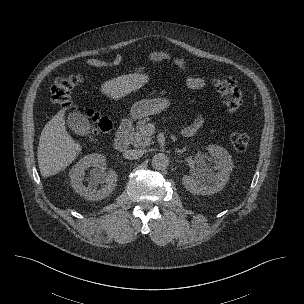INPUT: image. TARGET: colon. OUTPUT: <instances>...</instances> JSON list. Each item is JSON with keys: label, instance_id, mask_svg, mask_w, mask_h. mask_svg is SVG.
I'll list each match as a JSON object with an SVG mask.
<instances>
[{"label": "colon", "instance_id": "colon-1", "mask_svg": "<svg viewBox=\"0 0 304 304\" xmlns=\"http://www.w3.org/2000/svg\"><path fill=\"white\" fill-rule=\"evenodd\" d=\"M83 81L80 74H70L59 77L51 88L52 102L64 109H75L71 101L73 89ZM213 85L220 94L222 103L230 112L237 111L242 106V94L237 86L236 80L229 75H223L213 80ZM87 115L91 120V132L96 136L106 133L112 128V122L108 117L94 110H88ZM233 147L239 152H245L250 146V137L246 133L234 132L230 136Z\"/></svg>", "mask_w": 304, "mask_h": 304}]
</instances>
